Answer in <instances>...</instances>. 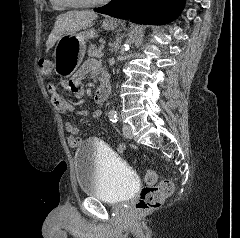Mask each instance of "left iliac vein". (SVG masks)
Segmentation results:
<instances>
[{
	"mask_svg": "<svg viewBox=\"0 0 240 238\" xmlns=\"http://www.w3.org/2000/svg\"><path fill=\"white\" fill-rule=\"evenodd\" d=\"M122 131H123V135L125 138L127 139H132L133 138V130H132V127L128 124H124L123 125V128H122Z\"/></svg>",
	"mask_w": 240,
	"mask_h": 238,
	"instance_id": "obj_1",
	"label": "left iliac vein"
}]
</instances>
